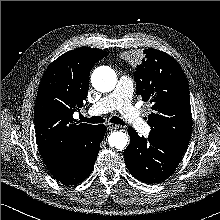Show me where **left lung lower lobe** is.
Here are the masks:
<instances>
[{
  "mask_svg": "<svg viewBox=\"0 0 220 220\" xmlns=\"http://www.w3.org/2000/svg\"><path fill=\"white\" fill-rule=\"evenodd\" d=\"M130 144L124 152L129 172L146 183H159L168 178L180 163L186 146L172 142L160 135L149 133L140 137L128 128Z\"/></svg>",
  "mask_w": 220,
  "mask_h": 220,
  "instance_id": "left-lung-lower-lobe-1",
  "label": "left lung lower lobe"
}]
</instances>
